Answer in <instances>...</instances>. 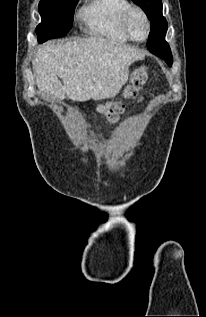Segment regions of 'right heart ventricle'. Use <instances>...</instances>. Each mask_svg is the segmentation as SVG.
Returning a JSON list of instances; mask_svg holds the SVG:
<instances>
[{
    "label": "right heart ventricle",
    "mask_w": 206,
    "mask_h": 317,
    "mask_svg": "<svg viewBox=\"0 0 206 317\" xmlns=\"http://www.w3.org/2000/svg\"><path fill=\"white\" fill-rule=\"evenodd\" d=\"M131 6L129 0H91L79 15L88 32L118 43L129 42L121 28L124 12Z\"/></svg>",
    "instance_id": "e07e8e85"
}]
</instances>
